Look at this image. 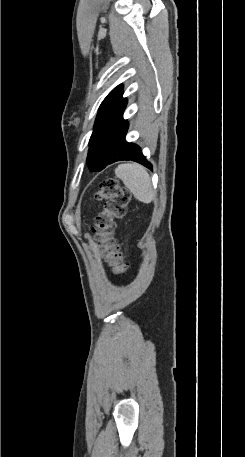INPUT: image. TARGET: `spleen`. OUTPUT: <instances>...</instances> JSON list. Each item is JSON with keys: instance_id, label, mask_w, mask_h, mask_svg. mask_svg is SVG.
<instances>
[{"instance_id": "3e777b00", "label": "spleen", "mask_w": 245, "mask_h": 457, "mask_svg": "<svg viewBox=\"0 0 245 457\" xmlns=\"http://www.w3.org/2000/svg\"><path fill=\"white\" fill-rule=\"evenodd\" d=\"M115 174L123 180L127 188H130L135 198L141 202L153 200L155 190H153L151 176L145 166L138 162H125V164H118Z\"/></svg>"}]
</instances>
